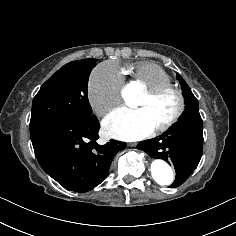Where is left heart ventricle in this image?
Segmentation results:
<instances>
[{"label":"left heart ventricle","mask_w":236,"mask_h":236,"mask_svg":"<svg viewBox=\"0 0 236 236\" xmlns=\"http://www.w3.org/2000/svg\"><path fill=\"white\" fill-rule=\"evenodd\" d=\"M133 107L144 109L155 129L163 125L174 113L176 100L172 95L168 94L156 101H150L148 97L143 94L135 100Z\"/></svg>","instance_id":"b2bd125f"}]
</instances>
